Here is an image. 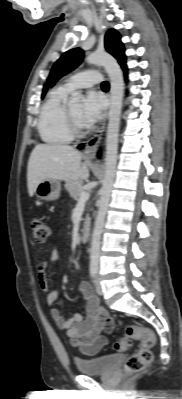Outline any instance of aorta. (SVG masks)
<instances>
[{"label":"aorta","instance_id":"obj_1","mask_svg":"<svg viewBox=\"0 0 182 399\" xmlns=\"http://www.w3.org/2000/svg\"><path fill=\"white\" fill-rule=\"evenodd\" d=\"M89 64L101 65L105 68L110 78V110L108 116L106 154H105V175L103 185L100 190V200L98 213L94 223V229L91 240V266H98L100 253V240L105 222V216L108 210L110 196L113 188L118 150V135L120 126V117L122 109L124 81L122 70L116 59L106 52H94L86 57ZM83 96L80 92L71 94L69 105L76 107L81 104Z\"/></svg>","mask_w":182,"mask_h":399}]
</instances>
